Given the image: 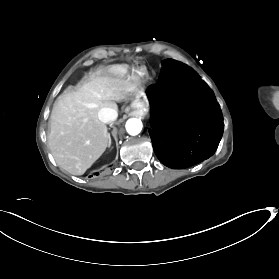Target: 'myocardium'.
Segmentation results:
<instances>
[{"instance_id":"myocardium-1","label":"myocardium","mask_w":279,"mask_h":279,"mask_svg":"<svg viewBox=\"0 0 279 279\" xmlns=\"http://www.w3.org/2000/svg\"><path fill=\"white\" fill-rule=\"evenodd\" d=\"M135 73L138 78H144L147 75V68L144 66L137 67Z\"/></svg>"}]
</instances>
